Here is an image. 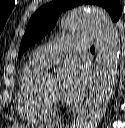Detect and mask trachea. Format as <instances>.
Listing matches in <instances>:
<instances>
[{
    "instance_id": "3493384b",
    "label": "trachea",
    "mask_w": 125,
    "mask_h": 128,
    "mask_svg": "<svg viewBox=\"0 0 125 128\" xmlns=\"http://www.w3.org/2000/svg\"><path fill=\"white\" fill-rule=\"evenodd\" d=\"M90 50H91V51H95V48H94V46H92Z\"/></svg>"
}]
</instances>
